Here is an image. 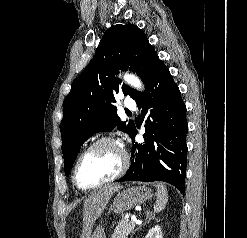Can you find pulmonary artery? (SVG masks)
Listing matches in <instances>:
<instances>
[{"label":"pulmonary artery","mask_w":247,"mask_h":238,"mask_svg":"<svg viewBox=\"0 0 247 238\" xmlns=\"http://www.w3.org/2000/svg\"><path fill=\"white\" fill-rule=\"evenodd\" d=\"M124 105H125L126 108H128L130 110H135L136 109V103L130 98H126L125 99Z\"/></svg>","instance_id":"1"}]
</instances>
